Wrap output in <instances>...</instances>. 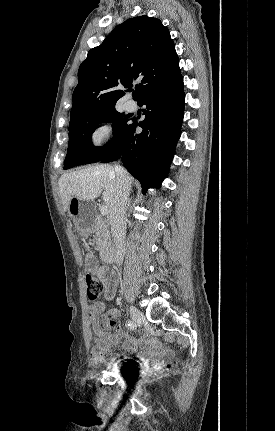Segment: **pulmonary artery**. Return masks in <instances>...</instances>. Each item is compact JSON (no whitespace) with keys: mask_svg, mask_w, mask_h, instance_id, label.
I'll return each mask as SVG.
<instances>
[{"mask_svg":"<svg viewBox=\"0 0 275 431\" xmlns=\"http://www.w3.org/2000/svg\"><path fill=\"white\" fill-rule=\"evenodd\" d=\"M125 106H126L127 110H129V111H134L137 107L136 103L132 100L127 101Z\"/></svg>","mask_w":275,"mask_h":431,"instance_id":"1","label":"pulmonary artery"}]
</instances>
